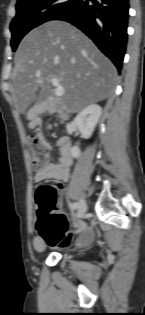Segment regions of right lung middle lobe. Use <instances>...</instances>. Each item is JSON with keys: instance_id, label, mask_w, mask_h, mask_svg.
<instances>
[{"instance_id": "obj_1", "label": "right lung middle lobe", "mask_w": 145, "mask_h": 315, "mask_svg": "<svg viewBox=\"0 0 145 315\" xmlns=\"http://www.w3.org/2000/svg\"><path fill=\"white\" fill-rule=\"evenodd\" d=\"M74 0H22L16 4V16L10 24L11 47L15 51L21 39L33 28L54 20Z\"/></svg>"}]
</instances>
